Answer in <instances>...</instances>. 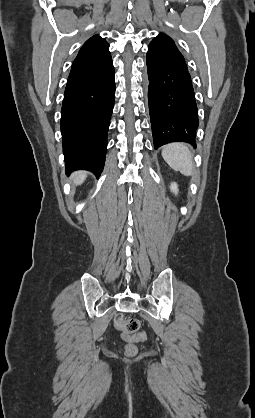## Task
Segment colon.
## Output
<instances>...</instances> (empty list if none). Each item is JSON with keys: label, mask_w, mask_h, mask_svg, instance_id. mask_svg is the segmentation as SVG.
<instances>
[{"label": "colon", "mask_w": 255, "mask_h": 418, "mask_svg": "<svg viewBox=\"0 0 255 418\" xmlns=\"http://www.w3.org/2000/svg\"><path fill=\"white\" fill-rule=\"evenodd\" d=\"M115 325L129 339L124 347L125 355L133 357L137 354V346L134 341H142L145 339L144 334H137L140 329V322L136 318H125L122 314L115 317Z\"/></svg>", "instance_id": "1"}]
</instances>
